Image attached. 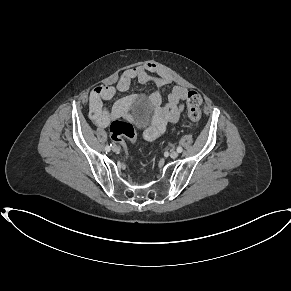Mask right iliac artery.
Wrapping results in <instances>:
<instances>
[{
	"label": "right iliac artery",
	"instance_id": "82829eb1",
	"mask_svg": "<svg viewBox=\"0 0 291 291\" xmlns=\"http://www.w3.org/2000/svg\"><path fill=\"white\" fill-rule=\"evenodd\" d=\"M111 146H112V144H110V146L107 145L106 148H105V150H106V151H110V147H111Z\"/></svg>",
	"mask_w": 291,
	"mask_h": 291
}]
</instances>
